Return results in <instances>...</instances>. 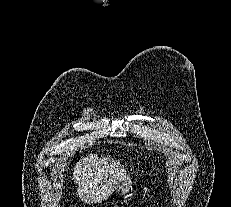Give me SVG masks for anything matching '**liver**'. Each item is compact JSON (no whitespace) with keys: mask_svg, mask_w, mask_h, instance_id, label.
Returning a JSON list of instances; mask_svg holds the SVG:
<instances>
[{"mask_svg":"<svg viewBox=\"0 0 231 207\" xmlns=\"http://www.w3.org/2000/svg\"><path fill=\"white\" fill-rule=\"evenodd\" d=\"M73 180L83 202L98 203L106 200L126 180V171L114 159L89 154L76 163Z\"/></svg>","mask_w":231,"mask_h":207,"instance_id":"1","label":"liver"}]
</instances>
